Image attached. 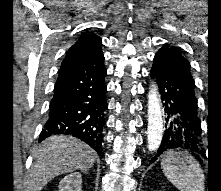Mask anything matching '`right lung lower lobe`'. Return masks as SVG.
Instances as JSON below:
<instances>
[{
	"mask_svg": "<svg viewBox=\"0 0 221 191\" xmlns=\"http://www.w3.org/2000/svg\"><path fill=\"white\" fill-rule=\"evenodd\" d=\"M104 57L62 67L39 142L54 134L81 139L102 154L107 87Z\"/></svg>",
	"mask_w": 221,
	"mask_h": 191,
	"instance_id": "right-lung-lower-lobe-1",
	"label": "right lung lower lobe"
}]
</instances>
